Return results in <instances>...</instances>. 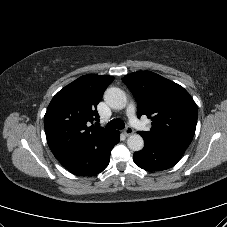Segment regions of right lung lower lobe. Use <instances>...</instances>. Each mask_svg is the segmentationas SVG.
Wrapping results in <instances>:
<instances>
[{
	"mask_svg": "<svg viewBox=\"0 0 227 227\" xmlns=\"http://www.w3.org/2000/svg\"><path fill=\"white\" fill-rule=\"evenodd\" d=\"M120 132L114 130L78 149L55 155L56 159L72 174L93 176L102 172L109 164L110 152L119 142Z\"/></svg>",
	"mask_w": 227,
	"mask_h": 227,
	"instance_id": "1",
	"label": "right lung lower lobe"
}]
</instances>
